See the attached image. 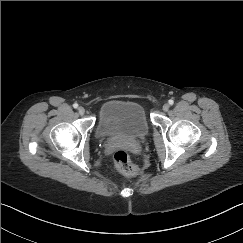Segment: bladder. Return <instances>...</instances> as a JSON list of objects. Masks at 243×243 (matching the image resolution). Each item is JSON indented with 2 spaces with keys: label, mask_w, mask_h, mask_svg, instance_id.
<instances>
[{
  "label": "bladder",
  "mask_w": 243,
  "mask_h": 243,
  "mask_svg": "<svg viewBox=\"0 0 243 243\" xmlns=\"http://www.w3.org/2000/svg\"><path fill=\"white\" fill-rule=\"evenodd\" d=\"M148 131L143 107L137 102L118 99H110L104 104L95 127L96 135L103 140H142Z\"/></svg>",
  "instance_id": "31cf9c89"
}]
</instances>
